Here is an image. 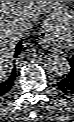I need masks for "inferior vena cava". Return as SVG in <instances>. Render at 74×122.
Returning a JSON list of instances; mask_svg holds the SVG:
<instances>
[{
  "label": "inferior vena cava",
  "instance_id": "1",
  "mask_svg": "<svg viewBox=\"0 0 74 122\" xmlns=\"http://www.w3.org/2000/svg\"><path fill=\"white\" fill-rule=\"evenodd\" d=\"M31 26V22L30 21H28V22H26V23H24L22 26H21V29L24 31L25 30V28H29Z\"/></svg>",
  "mask_w": 74,
  "mask_h": 122
}]
</instances>
